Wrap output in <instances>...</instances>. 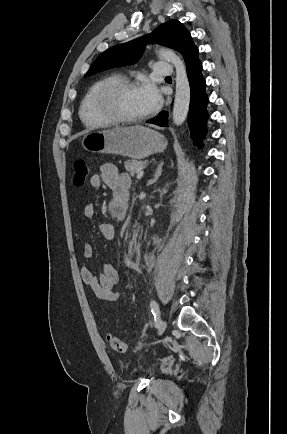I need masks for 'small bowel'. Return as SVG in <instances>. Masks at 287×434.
<instances>
[{"label":"small bowel","mask_w":287,"mask_h":434,"mask_svg":"<svg viewBox=\"0 0 287 434\" xmlns=\"http://www.w3.org/2000/svg\"><path fill=\"white\" fill-rule=\"evenodd\" d=\"M130 183V176L127 173L120 172L114 164L110 163L102 164L99 172L93 174L90 178L91 187L99 188L105 185L111 190L112 194L108 202V212L118 222L125 221L127 216ZM83 213L86 219L95 218L97 214L96 205L94 203L86 204ZM98 230L105 239H116L117 230L112 223L100 222ZM93 256V245L85 243L83 245V257L91 259ZM80 274L82 281L91 288L99 300L114 302L119 298L118 292L114 289L118 282V273L111 264L104 263L99 273L94 272L87 266H83Z\"/></svg>","instance_id":"obj_1"}]
</instances>
